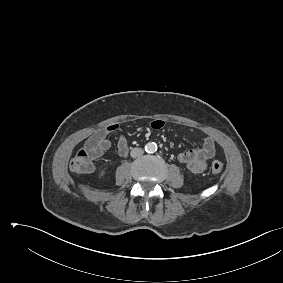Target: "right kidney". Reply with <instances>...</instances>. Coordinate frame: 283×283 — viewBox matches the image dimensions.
Listing matches in <instances>:
<instances>
[{
	"instance_id": "1",
	"label": "right kidney",
	"mask_w": 283,
	"mask_h": 283,
	"mask_svg": "<svg viewBox=\"0 0 283 283\" xmlns=\"http://www.w3.org/2000/svg\"><path fill=\"white\" fill-rule=\"evenodd\" d=\"M105 174V172L103 171V172H101V176H103Z\"/></svg>"
}]
</instances>
